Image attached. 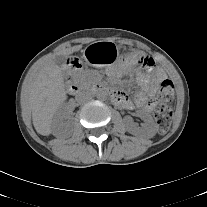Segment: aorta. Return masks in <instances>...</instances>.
Listing matches in <instances>:
<instances>
[{
  "mask_svg": "<svg viewBox=\"0 0 207 207\" xmlns=\"http://www.w3.org/2000/svg\"><path fill=\"white\" fill-rule=\"evenodd\" d=\"M96 97L100 101H105L108 98V93L101 89L96 93Z\"/></svg>",
  "mask_w": 207,
  "mask_h": 207,
  "instance_id": "obj_1",
  "label": "aorta"
}]
</instances>
